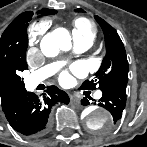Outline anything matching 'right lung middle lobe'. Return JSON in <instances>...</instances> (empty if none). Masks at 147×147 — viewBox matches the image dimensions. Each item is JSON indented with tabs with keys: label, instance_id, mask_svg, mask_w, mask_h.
Segmentation results:
<instances>
[{
	"label": "right lung middle lobe",
	"instance_id": "1",
	"mask_svg": "<svg viewBox=\"0 0 147 147\" xmlns=\"http://www.w3.org/2000/svg\"><path fill=\"white\" fill-rule=\"evenodd\" d=\"M28 22H29V21H28ZM28 22H27V24H25V25L22 27V29H21V33H22L23 36H25L26 39L28 38V37H27V33H26V28H27V26H28Z\"/></svg>",
	"mask_w": 147,
	"mask_h": 147
}]
</instances>
